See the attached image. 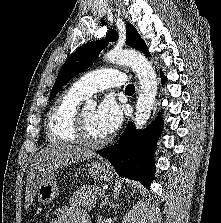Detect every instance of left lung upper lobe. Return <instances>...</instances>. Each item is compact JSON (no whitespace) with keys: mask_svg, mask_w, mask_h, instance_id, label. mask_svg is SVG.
<instances>
[{"mask_svg":"<svg viewBox=\"0 0 221 223\" xmlns=\"http://www.w3.org/2000/svg\"><path fill=\"white\" fill-rule=\"evenodd\" d=\"M117 37L116 31L111 30L105 40L92 41L77 49L60 69L51 90L50 99L54 98L72 77L90 67L98 57L100 51L106 47L107 43L116 41ZM126 44L142 51L146 56L150 55L145 42L130 23L126 25Z\"/></svg>","mask_w":221,"mask_h":223,"instance_id":"5c2ea615","label":"left lung upper lobe"}]
</instances>
